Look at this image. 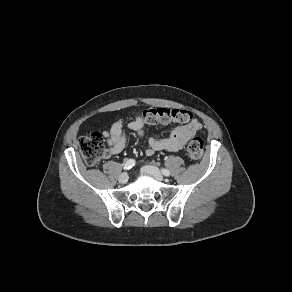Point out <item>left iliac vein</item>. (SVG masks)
I'll list each match as a JSON object with an SVG mask.
<instances>
[{"label":"left iliac vein","instance_id":"4c4485c4","mask_svg":"<svg viewBox=\"0 0 292 292\" xmlns=\"http://www.w3.org/2000/svg\"><path fill=\"white\" fill-rule=\"evenodd\" d=\"M142 171L145 172V173L150 174L157 181H163L164 180V177H163L162 173L155 166H151V165L143 166L142 167Z\"/></svg>","mask_w":292,"mask_h":292}]
</instances>
